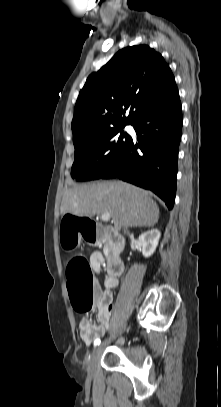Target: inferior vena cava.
<instances>
[{
    "instance_id": "inferior-vena-cava-1",
    "label": "inferior vena cava",
    "mask_w": 221,
    "mask_h": 407,
    "mask_svg": "<svg viewBox=\"0 0 221 407\" xmlns=\"http://www.w3.org/2000/svg\"><path fill=\"white\" fill-rule=\"evenodd\" d=\"M124 233H128L127 227L124 228Z\"/></svg>"
}]
</instances>
